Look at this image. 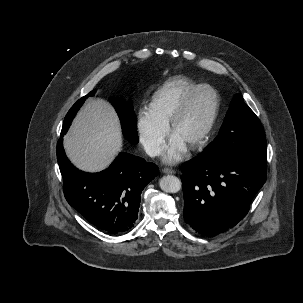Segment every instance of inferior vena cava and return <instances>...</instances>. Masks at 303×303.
<instances>
[{
    "mask_svg": "<svg viewBox=\"0 0 303 303\" xmlns=\"http://www.w3.org/2000/svg\"><path fill=\"white\" fill-rule=\"evenodd\" d=\"M144 149L146 153L151 157L158 156L161 153V149L156 143H148L144 146Z\"/></svg>",
    "mask_w": 303,
    "mask_h": 303,
    "instance_id": "inferior-vena-cava-1",
    "label": "inferior vena cava"
}]
</instances>
